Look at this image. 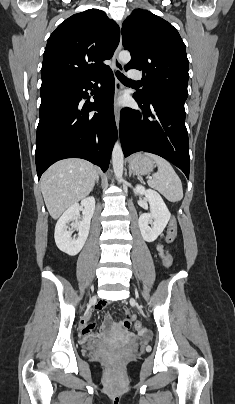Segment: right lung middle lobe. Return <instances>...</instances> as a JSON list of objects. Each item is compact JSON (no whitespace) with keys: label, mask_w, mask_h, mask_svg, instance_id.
I'll return each mask as SVG.
<instances>
[{"label":"right lung middle lobe","mask_w":235,"mask_h":404,"mask_svg":"<svg viewBox=\"0 0 235 404\" xmlns=\"http://www.w3.org/2000/svg\"><path fill=\"white\" fill-rule=\"evenodd\" d=\"M56 84H57V83L42 85V86H41V89L49 88V87H52V86H54V85H56Z\"/></svg>","instance_id":"obj_1"}]
</instances>
